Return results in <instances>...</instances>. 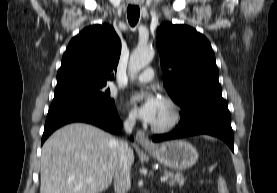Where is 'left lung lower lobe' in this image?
<instances>
[{
  "label": "left lung lower lobe",
  "mask_w": 277,
  "mask_h": 193,
  "mask_svg": "<svg viewBox=\"0 0 277 193\" xmlns=\"http://www.w3.org/2000/svg\"><path fill=\"white\" fill-rule=\"evenodd\" d=\"M198 134H208L224 140L232 151L234 133L231 115L222 97H209L197 101L181 115L178 127L167 134L154 135V142L183 138Z\"/></svg>",
  "instance_id": "1"
}]
</instances>
